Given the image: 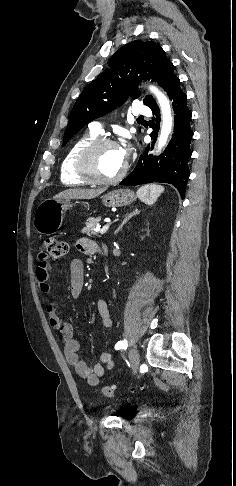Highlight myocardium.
<instances>
[{"label": "myocardium", "instance_id": "obj_1", "mask_svg": "<svg viewBox=\"0 0 236 486\" xmlns=\"http://www.w3.org/2000/svg\"><path fill=\"white\" fill-rule=\"evenodd\" d=\"M103 146H115L119 148L116 141L109 138H95L87 143L78 153L75 161L76 173L90 184L110 185L119 182L128 171V164L125 162L122 170L114 177H100L94 170L93 158L96 151Z\"/></svg>", "mask_w": 236, "mask_h": 486}]
</instances>
